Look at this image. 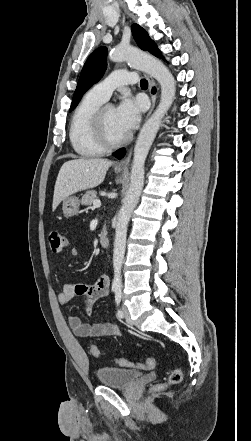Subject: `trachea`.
I'll list each match as a JSON object with an SVG mask.
<instances>
[{
  "label": "trachea",
  "mask_w": 251,
  "mask_h": 441,
  "mask_svg": "<svg viewBox=\"0 0 251 441\" xmlns=\"http://www.w3.org/2000/svg\"><path fill=\"white\" fill-rule=\"evenodd\" d=\"M140 86L141 87H148V81L146 79H141Z\"/></svg>",
  "instance_id": "1"
}]
</instances>
